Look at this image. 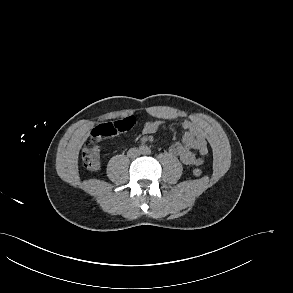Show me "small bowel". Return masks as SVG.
I'll return each mask as SVG.
<instances>
[{"label": "small bowel", "mask_w": 293, "mask_h": 293, "mask_svg": "<svg viewBox=\"0 0 293 293\" xmlns=\"http://www.w3.org/2000/svg\"><path fill=\"white\" fill-rule=\"evenodd\" d=\"M165 122L163 120L148 121L143 125L144 134H152L161 128ZM182 128L185 131L181 140L174 143L170 152L177 156L185 165H201L208 154L205 132L192 121H184ZM192 150H195L194 153Z\"/></svg>", "instance_id": "1"}]
</instances>
